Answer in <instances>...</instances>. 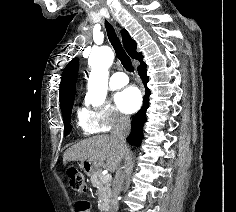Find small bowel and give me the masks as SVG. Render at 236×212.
Instances as JSON below:
<instances>
[{"instance_id":"c3829d8e","label":"small bowel","mask_w":236,"mask_h":212,"mask_svg":"<svg viewBox=\"0 0 236 212\" xmlns=\"http://www.w3.org/2000/svg\"><path fill=\"white\" fill-rule=\"evenodd\" d=\"M75 212H90V199H75Z\"/></svg>"}]
</instances>
